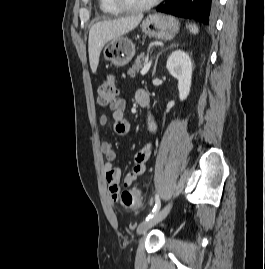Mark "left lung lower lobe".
Segmentation results:
<instances>
[{
  "label": "left lung lower lobe",
  "instance_id": "left-lung-lower-lobe-1",
  "mask_svg": "<svg viewBox=\"0 0 265 269\" xmlns=\"http://www.w3.org/2000/svg\"><path fill=\"white\" fill-rule=\"evenodd\" d=\"M218 10V0H168L158 12L181 18L199 21L204 25L212 24Z\"/></svg>",
  "mask_w": 265,
  "mask_h": 269
}]
</instances>
